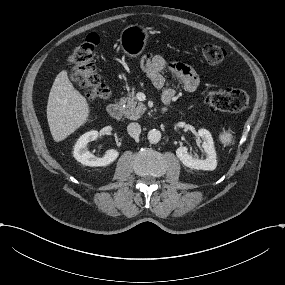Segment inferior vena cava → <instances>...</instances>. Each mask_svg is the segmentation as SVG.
<instances>
[{
	"mask_svg": "<svg viewBox=\"0 0 285 285\" xmlns=\"http://www.w3.org/2000/svg\"><path fill=\"white\" fill-rule=\"evenodd\" d=\"M127 131L131 137L137 138L141 133V127L138 123H130L127 127Z\"/></svg>",
	"mask_w": 285,
	"mask_h": 285,
	"instance_id": "1",
	"label": "inferior vena cava"
}]
</instances>
